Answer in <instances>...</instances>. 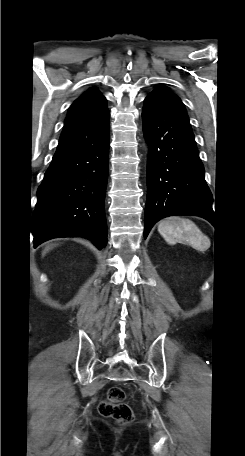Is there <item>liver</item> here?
Wrapping results in <instances>:
<instances>
[{
    "label": "liver",
    "mask_w": 245,
    "mask_h": 456,
    "mask_svg": "<svg viewBox=\"0 0 245 456\" xmlns=\"http://www.w3.org/2000/svg\"><path fill=\"white\" fill-rule=\"evenodd\" d=\"M51 247H52V246H50V247H49V246H48V247H46V249H45V250H44V252H43V255H45V253H46L47 251H49V250L51 249Z\"/></svg>",
    "instance_id": "obj_1"
}]
</instances>
